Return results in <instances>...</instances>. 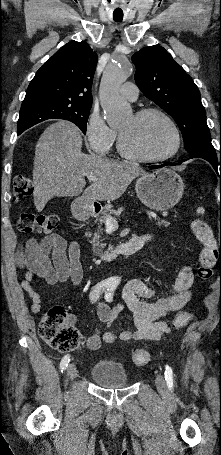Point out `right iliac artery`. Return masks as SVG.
<instances>
[{"mask_svg": "<svg viewBox=\"0 0 221 455\" xmlns=\"http://www.w3.org/2000/svg\"><path fill=\"white\" fill-rule=\"evenodd\" d=\"M109 286H111V285H109V283H107V282H100V283L96 284L92 288L90 295H89V299H90L91 303H95L99 299L101 294L105 291V289H107ZM69 361H70L69 355H65L62 358V360L60 362L61 372L65 371V369L68 366Z\"/></svg>", "mask_w": 221, "mask_h": 455, "instance_id": "82829eb1", "label": "right iliac artery"}]
</instances>
